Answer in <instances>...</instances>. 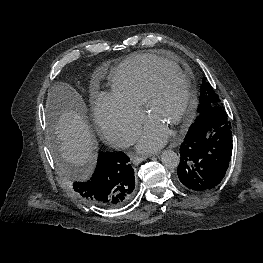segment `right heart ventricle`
I'll use <instances>...</instances> for the list:
<instances>
[{
    "mask_svg": "<svg viewBox=\"0 0 263 263\" xmlns=\"http://www.w3.org/2000/svg\"><path fill=\"white\" fill-rule=\"evenodd\" d=\"M161 67L178 68L172 62L150 54L130 56L110 74L112 95L120 101L140 108L152 74Z\"/></svg>",
    "mask_w": 263,
    "mask_h": 263,
    "instance_id": "obj_1",
    "label": "right heart ventricle"
}]
</instances>
